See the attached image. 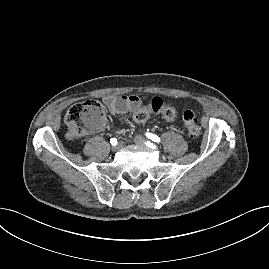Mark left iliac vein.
<instances>
[{
    "label": "left iliac vein",
    "mask_w": 269,
    "mask_h": 269,
    "mask_svg": "<svg viewBox=\"0 0 269 269\" xmlns=\"http://www.w3.org/2000/svg\"><path fill=\"white\" fill-rule=\"evenodd\" d=\"M145 141H146V139L141 135H137L134 137V142L137 145H142Z\"/></svg>",
    "instance_id": "4c4485c4"
}]
</instances>
